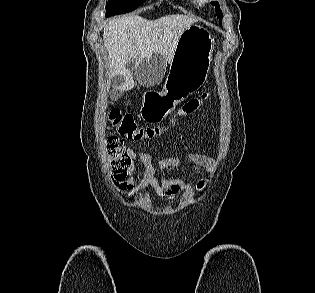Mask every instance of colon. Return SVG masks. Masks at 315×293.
Segmentation results:
<instances>
[{
    "label": "colon",
    "mask_w": 315,
    "mask_h": 293,
    "mask_svg": "<svg viewBox=\"0 0 315 293\" xmlns=\"http://www.w3.org/2000/svg\"><path fill=\"white\" fill-rule=\"evenodd\" d=\"M207 98L208 93L204 92L199 97L188 100L178 109L176 115L169 123L164 126H138L131 114H123L116 109L109 111L108 118L119 134L128 139L135 141L153 139L164 134L178 118L195 113ZM106 148L114 178L117 181H122L126 176V170L130 165L131 158L125 151L123 142L118 137H109ZM203 186L204 182L198 184L199 189L203 188Z\"/></svg>",
    "instance_id": "obj_1"
}]
</instances>
